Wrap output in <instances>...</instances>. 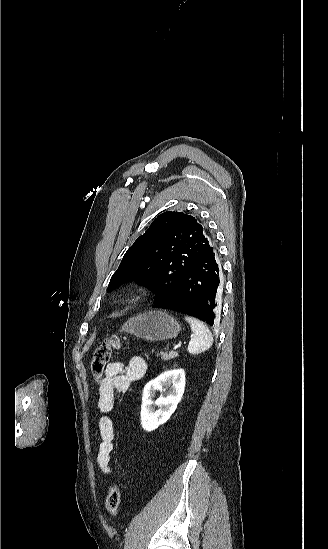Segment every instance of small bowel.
<instances>
[{
	"instance_id": "c3829d8e",
	"label": "small bowel",
	"mask_w": 328,
	"mask_h": 549,
	"mask_svg": "<svg viewBox=\"0 0 328 549\" xmlns=\"http://www.w3.org/2000/svg\"><path fill=\"white\" fill-rule=\"evenodd\" d=\"M146 373V362L139 356H133L127 363L113 361L105 368V377L99 386L97 407L101 416L98 427L101 442L97 455V464L101 471L110 476L113 470L110 466L113 450L114 425L109 413L115 403V393H125L130 385L142 379Z\"/></svg>"
}]
</instances>
